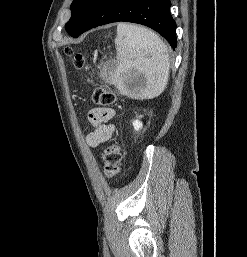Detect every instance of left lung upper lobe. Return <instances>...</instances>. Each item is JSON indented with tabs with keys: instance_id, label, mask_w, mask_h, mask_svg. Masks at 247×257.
Listing matches in <instances>:
<instances>
[{
	"instance_id": "1",
	"label": "left lung upper lobe",
	"mask_w": 247,
	"mask_h": 257,
	"mask_svg": "<svg viewBox=\"0 0 247 257\" xmlns=\"http://www.w3.org/2000/svg\"><path fill=\"white\" fill-rule=\"evenodd\" d=\"M97 0H73L71 4L72 16L66 23L65 29L69 35H74L85 21Z\"/></svg>"
}]
</instances>
